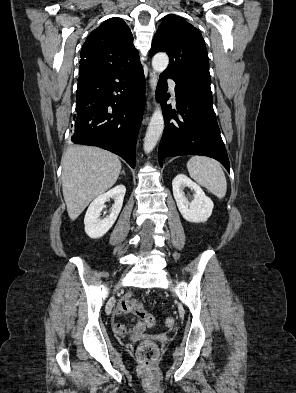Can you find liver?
<instances>
[{
	"label": "liver",
	"instance_id": "liver-1",
	"mask_svg": "<svg viewBox=\"0 0 296 393\" xmlns=\"http://www.w3.org/2000/svg\"><path fill=\"white\" fill-rule=\"evenodd\" d=\"M62 190L67 212L75 220L96 197L117 181L121 162L103 149L73 146L62 156Z\"/></svg>",
	"mask_w": 296,
	"mask_h": 393
}]
</instances>
